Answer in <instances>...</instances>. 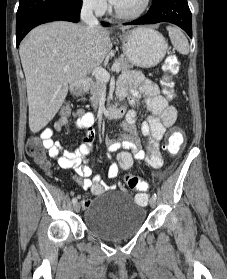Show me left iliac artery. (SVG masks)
<instances>
[{
  "mask_svg": "<svg viewBox=\"0 0 227 279\" xmlns=\"http://www.w3.org/2000/svg\"><path fill=\"white\" fill-rule=\"evenodd\" d=\"M152 198L157 199V195L153 194Z\"/></svg>",
  "mask_w": 227,
  "mask_h": 279,
  "instance_id": "1",
  "label": "left iliac artery"
}]
</instances>
